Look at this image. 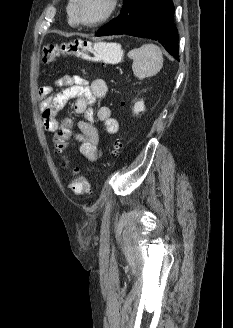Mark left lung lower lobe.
I'll return each instance as SVG.
<instances>
[{"label": "left lung lower lobe", "mask_w": 233, "mask_h": 328, "mask_svg": "<svg viewBox=\"0 0 233 328\" xmlns=\"http://www.w3.org/2000/svg\"><path fill=\"white\" fill-rule=\"evenodd\" d=\"M172 0H124L120 15L105 24L97 36L127 34L159 41L175 59L178 32L173 23Z\"/></svg>", "instance_id": "left-lung-lower-lobe-1"}]
</instances>
